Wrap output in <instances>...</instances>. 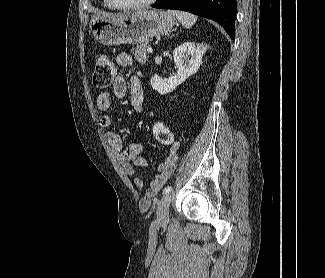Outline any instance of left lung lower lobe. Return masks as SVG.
<instances>
[{"label": "left lung lower lobe", "mask_w": 325, "mask_h": 278, "mask_svg": "<svg viewBox=\"0 0 325 278\" xmlns=\"http://www.w3.org/2000/svg\"><path fill=\"white\" fill-rule=\"evenodd\" d=\"M152 7L178 9L212 19L234 38L236 0H158Z\"/></svg>", "instance_id": "0a47b994"}]
</instances>
